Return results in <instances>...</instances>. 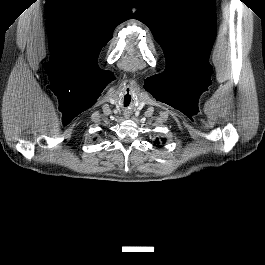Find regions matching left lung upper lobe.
<instances>
[{"mask_svg": "<svg viewBox=\"0 0 265 265\" xmlns=\"http://www.w3.org/2000/svg\"><path fill=\"white\" fill-rule=\"evenodd\" d=\"M157 141H158V140H157ZM162 141H163V143H164V142H165V139H163ZM156 143H158V142H155V144H156Z\"/></svg>", "mask_w": 265, "mask_h": 265, "instance_id": "left-lung-upper-lobe-1", "label": "left lung upper lobe"}]
</instances>
